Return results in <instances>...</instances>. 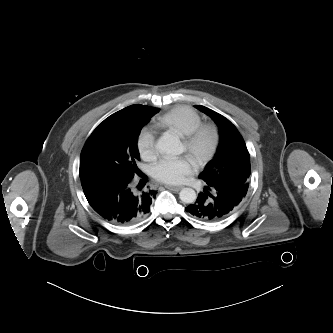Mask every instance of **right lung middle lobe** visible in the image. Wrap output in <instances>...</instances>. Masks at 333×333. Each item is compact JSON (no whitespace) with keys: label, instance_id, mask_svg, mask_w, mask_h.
<instances>
[{"label":"right lung middle lobe","instance_id":"right-lung-middle-lobe-1","mask_svg":"<svg viewBox=\"0 0 333 333\" xmlns=\"http://www.w3.org/2000/svg\"><path fill=\"white\" fill-rule=\"evenodd\" d=\"M159 111L131 105L106 118L90 135L80 156V178L106 175L133 178L141 171L137 139L142 127Z\"/></svg>","mask_w":333,"mask_h":333}]
</instances>
